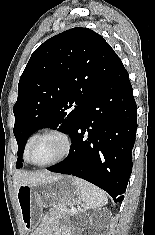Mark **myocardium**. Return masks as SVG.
I'll return each mask as SVG.
<instances>
[{
    "mask_svg": "<svg viewBox=\"0 0 155 235\" xmlns=\"http://www.w3.org/2000/svg\"><path fill=\"white\" fill-rule=\"evenodd\" d=\"M48 135H56V136L60 137L64 142V150L60 156H58L56 159H54L50 162L43 163V164L34 163L30 159L31 148L37 140H39L40 138H42L44 136H48ZM72 149H73V140L68 132H66L65 130L59 129V128H50V129H47V130L35 135V137L33 138V140L31 141L30 145L28 146V148L26 150V161L34 166H37V167L53 166V165L59 164V163L63 162L64 160H66L70 156Z\"/></svg>",
    "mask_w": 155,
    "mask_h": 235,
    "instance_id": "f54148a6",
    "label": "myocardium"
}]
</instances>
